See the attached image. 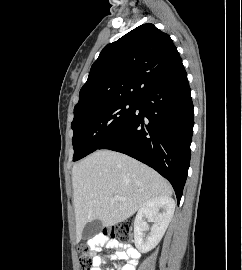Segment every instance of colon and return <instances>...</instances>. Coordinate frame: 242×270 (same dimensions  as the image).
<instances>
[{
    "label": "colon",
    "mask_w": 242,
    "mask_h": 270,
    "mask_svg": "<svg viewBox=\"0 0 242 270\" xmlns=\"http://www.w3.org/2000/svg\"><path fill=\"white\" fill-rule=\"evenodd\" d=\"M99 235L111 240L128 241L133 235V222L131 220L121 221L115 226L104 230ZM90 250V246L86 244L79 248V265L82 270H91L92 268L93 259L91 258Z\"/></svg>",
    "instance_id": "5ec220e1"
}]
</instances>
